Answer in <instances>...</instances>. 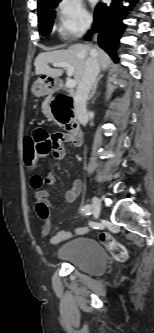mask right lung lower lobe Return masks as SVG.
Here are the masks:
<instances>
[{
	"instance_id": "obj_1",
	"label": "right lung lower lobe",
	"mask_w": 154,
	"mask_h": 333,
	"mask_svg": "<svg viewBox=\"0 0 154 333\" xmlns=\"http://www.w3.org/2000/svg\"><path fill=\"white\" fill-rule=\"evenodd\" d=\"M125 12L122 0H112L110 5L98 4L94 14L92 29L99 33L98 43L115 61L118 60L116 50L124 30Z\"/></svg>"
}]
</instances>
